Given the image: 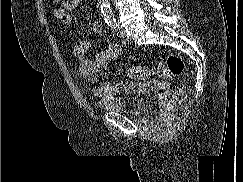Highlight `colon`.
<instances>
[{
    "mask_svg": "<svg viewBox=\"0 0 243 182\" xmlns=\"http://www.w3.org/2000/svg\"><path fill=\"white\" fill-rule=\"evenodd\" d=\"M57 2L64 3L65 0H56ZM185 63L183 59L175 54H170L166 57L165 61L158 66V74L179 76L184 72ZM124 74L128 77L145 80L151 75V71L144 66H133L126 68ZM182 88L176 87L166 92H162L158 96L161 115H166L171 109L174 102L181 96Z\"/></svg>",
    "mask_w": 243,
    "mask_h": 182,
    "instance_id": "1",
    "label": "colon"
}]
</instances>
